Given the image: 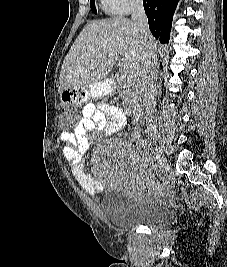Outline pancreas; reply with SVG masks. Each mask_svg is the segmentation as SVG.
Instances as JSON below:
<instances>
[{"mask_svg": "<svg viewBox=\"0 0 227 267\" xmlns=\"http://www.w3.org/2000/svg\"><path fill=\"white\" fill-rule=\"evenodd\" d=\"M121 95L123 96V106L127 111H132L138 106L139 94L137 89L129 85L126 81L120 85Z\"/></svg>", "mask_w": 227, "mask_h": 267, "instance_id": "cf45deb5", "label": "pancreas"}]
</instances>
